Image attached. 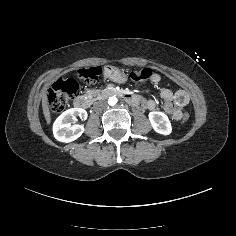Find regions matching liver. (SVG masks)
<instances>
[{
	"instance_id": "liver-1",
	"label": "liver",
	"mask_w": 236,
	"mask_h": 236,
	"mask_svg": "<svg viewBox=\"0 0 236 236\" xmlns=\"http://www.w3.org/2000/svg\"><path fill=\"white\" fill-rule=\"evenodd\" d=\"M42 109H43V115L45 117L46 123L48 125H50L51 124V113H50V109H49V105H48L47 93H44L43 97H42Z\"/></svg>"
}]
</instances>
